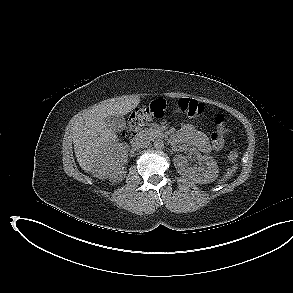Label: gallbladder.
Segmentation results:
<instances>
[{"instance_id":"gallbladder-1","label":"gallbladder","mask_w":293,"mask_h":293,"mask_svg":"<svg viewBox=\"0 0 293 293\" xmlns=\"http://www.w3.org/2000/svg\"><path fill=\"white\" fill-rule=\"evenodd\" d=\"M105 123L114 132H121L126 127L125 118L121 115H109L106 117Z\"/></svg>"}]
</instances>
